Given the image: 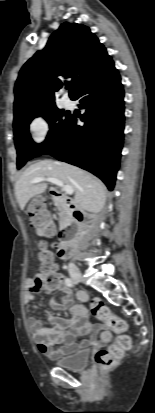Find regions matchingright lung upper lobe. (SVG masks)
<instances>
[{"instance_id":"cb5924a9","label":"right lung upper lobe","mask_w":155,"mask_h":413,"mask_svg":"<svg viewBox=\"0 0 155 413\" xmlns=\"http://www.w3.org/2000/svg\"><path fill=\"white\" fill-rule=\"evenodd\" d=\"M114 67L112 58L90 29L63 23L21 68L15 83L14 123L56 107L54 91L71 78L70 98ZM68 84V82H66ZM40 93V94H39Z\"/></svg>"}]
</instances>
